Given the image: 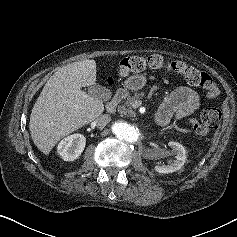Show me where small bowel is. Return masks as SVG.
<instances>
[{"label":"small bowel","mask_w":237,"mask_h":237,"mask_svg":"<svg viewBox=\"0 0 237 237\" xmlns=\"http://www.w3.org/2000/svg\"><path fill=\"white\" fill-rule=\"evenodd\" d=\"M199 107L198 93L190 87L180 86L165 98L157 112L156 120L160 125H166L174 115L181 119L192 114Z\"/></svg>","instance_id":"obj_1"}]
</instances>
